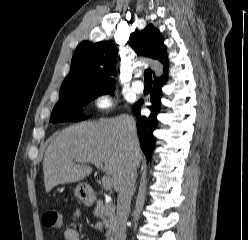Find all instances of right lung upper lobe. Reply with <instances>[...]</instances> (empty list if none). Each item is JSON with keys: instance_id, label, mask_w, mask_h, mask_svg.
I'll return each mask as SVG.
<instances>
[{"instance_id": "right-lung-upper-lobe-1", "label": "right lung upper lobe", "mask_w": 248, "mask_h": 240, "mask_svg": "<svg viewBox=\"0 0 248 240\" xmlns=\"http://www.w3.org/2000/svg\"><path fill=\"white\" fill-rule=\"evenodd\" d=\"M164 39L152 24L132 35L131 47L138 55H146L163 64V75H167L168 58ZM116 48L113 41L81 42L73 55L71 69L60 92L71 88H114L116 75Z\"/></svg>"}]
</instances>
